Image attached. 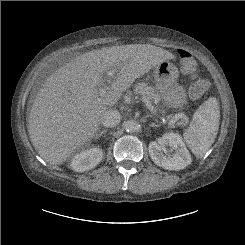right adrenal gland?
Wrapping results in <instances>:
<instances>
[{
  "mask_svg": "<svg viewBox=\"0 0 245 245\" xmlns=\"http://www.w3.org/2000/svg\"><path fill=\"white\" fill-rule=\"evenodd\" d=\"M107 130H102L101 132H99L96 136H95V140L99 139L102 135L106 134Z\"/></svg>",
  "mask_w": 245,
  "mask_h": 245,
  "instance_id": "right-adrenal-gland-1",
  "label": "right adrenal gland"
}]
</instances>
